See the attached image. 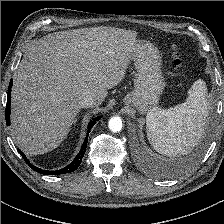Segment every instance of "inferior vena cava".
I'll return each mask as SVG.
<instances>
[{"label": "inferior vena cava", "mask_w": 224, "mask_h": 224, "mask_svg": "<svg viewBox=\"0 0 224 224\" xmlns=\"http://www.w3.org/2000/svg\"><path fill=\"white\" fill-rule=\"evenodd\" d=\"M79 104L81 108H88V107L96 106L97 103L92 96L86 95L80 98Z\"/></svg>", "instance_id": "obj_1"}]
</instances>
